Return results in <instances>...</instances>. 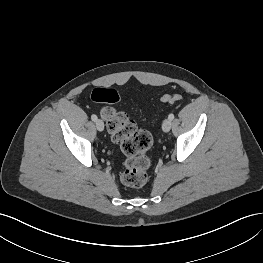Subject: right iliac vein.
<instances>
[{
    "label": "right iliac vein",
    "instance_id": "obj_1",
    "mask_svg": "<svg viewBox=\"0 0 263 263\" xmlns=\"http://www.w3.org/2000/svg\"><path fill=\"white\" fill-rule=\"evenodd\" d=\"M95 124H96V128H97L98 131H103L104 130V123H103L102 120L97 119L95 121Z\"/></svg>",
    "mask_w": 263,
    "mask_h": 263
}]
</instances>
